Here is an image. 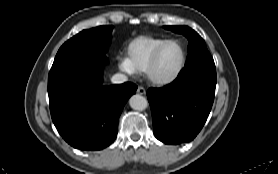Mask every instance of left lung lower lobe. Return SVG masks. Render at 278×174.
I'll return each mask as SVG.
<instances>
[{"label": "left lung lower lobe", "mask_w": 278, "mask_h": 174, "mask_svg": "<svg viewBox=\"0 0 278 174\" xmlns=\"http://www.w3.org/2000/svg\"><path fill=\"white\" fill-rule=\"evenodd\" d=\"M216 87V74L196 71L178 75L170 84L147 91L153 132L166 144L193 140L210 113Z\"/></svg>", "instance_id": "1"}]
</instances>
